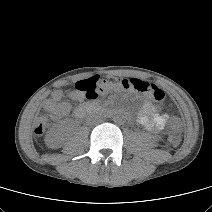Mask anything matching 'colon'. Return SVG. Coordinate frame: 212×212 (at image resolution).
I'll return each instance as SVG.
<instances>
[{
  "label": "colon",
  "instance_id": "obj_1",
  "mask_svg": "<svg viewBox=\"0 0 212 212\" xmlns=\"http://www.w3.org/2000/svg\"><path fill=\"white\" fill-rule=\"evenodd\" d=\"M75 91L84 95L88 99L96 98L100 93L106 91L120 92V91H137L147 94L157 102H161L165 98L164 91L156 86L155 84L149 83L148 81L141 79H117L109 80L108 82L101 79L100 76L94 75L87 79L77 81L73 85ZM47 126V120L44 117L38 119L35 125V133L42 134ZM174 130L177 131L179 128V121H174Z\"/></svg>",
  "mask_w": 212,
  "mask_h": 212
}]
</instances>
